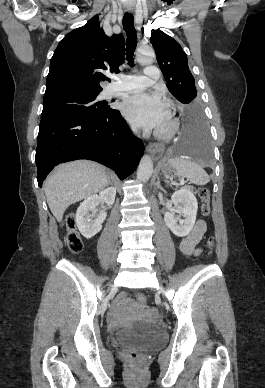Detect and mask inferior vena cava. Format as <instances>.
<instances>
[{
  "mask_svg": "<svg viewBox=\"0 0 265 388\" xmlns=\"http://www.w3.org/2000/svg\"><path fill=\"white\" fill-rule=\"evenodd\" d=\"M133 132H137L136 128H132Z\"/></svg>",
  "mask_w": 265,
  "mask_h": 388,
  "instance_id": "obj_1",
  "label": "inferior vena cava"
}]
</instances>
